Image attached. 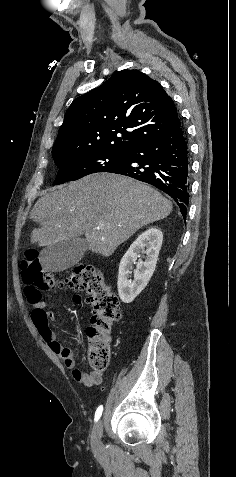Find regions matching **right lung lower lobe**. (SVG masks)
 I'll return each mask as SVG.
<instances>
[{
    "label": "right lung lower lobe",
    "mask_w": 236,
    "mask_h": 477,
    "mask_svg": "<svg viewBox=\"0 0 236 477\" xmlns=\"http://www.w3.org/2000/svg\"><path fill=\"white\" fill-rule=\"evenodd\" d=\"M190 155L184 128L177 124L165 134L131 147L127 161L108 172L149 183L172 197L186 218L189 203Z\"/></svg>",
    "instance_id": "obj_1"
}]
</instances>
